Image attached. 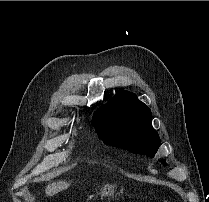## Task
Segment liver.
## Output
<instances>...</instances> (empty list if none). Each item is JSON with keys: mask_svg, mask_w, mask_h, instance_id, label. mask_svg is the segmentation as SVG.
Listing matches in <instances>:
<instances>
[{"mask_svg": "<svg viewBox=\"0 0 209 202\" xmlns=\"http://www.w3.org/2000/svg\"><path fill=\"white\" fill-rule=\"evenodd\" d=\"M69 186L70 184L65 181L53 182L51 184H48V186L45 189V193L47 196H53L59 193L60 191L67 189Z\"/></svg>", "mask_w": 209, "mask_h": 202, "instance_id": "obj_1", "label": "liver"}]
</instances>
